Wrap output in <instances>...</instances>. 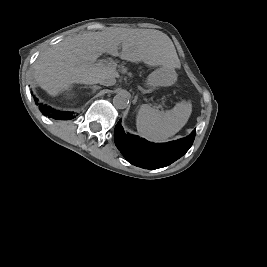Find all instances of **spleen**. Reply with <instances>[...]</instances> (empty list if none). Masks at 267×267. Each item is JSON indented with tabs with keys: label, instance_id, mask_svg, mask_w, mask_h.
<instances>
[{
	"label": "spleen",
	"instance_id": "1",
	"mask_svg": "<svg viewBox=\"0 0 267 267\" xmlns=\"http://www.w3.org/2000/svg\"><path fill=\"white\" fill-rule=\"evenodd\" d=\"M190 116L186 102L177 103L173 109L160 111L142 104L136 116L139 135L148 141L161 143L179 132Z\"/></svg>",
	"mask_w": 267,
	"mask_h": 267
}]
</instances>
